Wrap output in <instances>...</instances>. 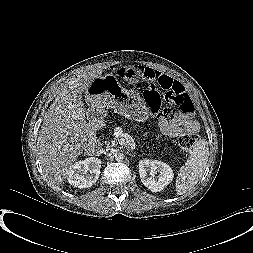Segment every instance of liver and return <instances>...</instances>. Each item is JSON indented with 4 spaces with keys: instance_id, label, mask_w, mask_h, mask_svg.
I'll list each match as a JSON object with an SVG mask.
<instances>
[{
    "instance_id": "liver-1",
    "label": "liver",
    "mask_w": 253,
    "mask_h": 253,
    "mask_svg": "<svg viewBox=\"0 0 253 253\" xmlns=\"http://www.w3.org/2000/svg\"><path fill=\"white\" fill-rule=\"evenodd\" d=\"M101 73V70L83 72L61 84L45 113L37 141L38 157L46 175L59 184L66 179L69 167L83 152L91 135L82 93Z\"/></svg>"
}]
</instances>
